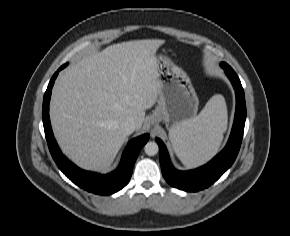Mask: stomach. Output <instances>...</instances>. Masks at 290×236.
Returning <instances> with one entry per match:
<instances>
[{"instance_id": "stomach-1", "label": "stomach", "mask_w": 290, "mask_h": 236, "mask_svg": "<svg viewBox=\"0 0 290 236\" xmlns=\"http://www.w3.org/2000/svg\"><path fill=\"white\" fill-rule=\"evenodd\" d=\"M159 98L152 123L164 121L171 131L196 117L199 100L189 76L165 56L156 57Z\"/></svg>"}]
</instances>
